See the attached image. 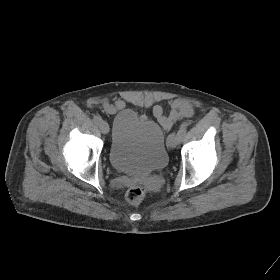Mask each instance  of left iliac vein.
Returning <instances> with one entry per match:
<instances>
[{
    "label": "left iliac vein",
    "mask_w": 280,
    "mask_h": 280,
    "mask_svg": "<svg viewBox=\"0 0 280 280\" xmlns=\"http://www.w3.org/2000/svg\"><path fill=\"white\" fill-rule=\"evenodd\" d=\"M180 140L181 138L177 133H172L168 138V146L170 148H175L179 144Z\"/></svg>",
    "instance_id": "4c4485c4"
}]
</instances>
